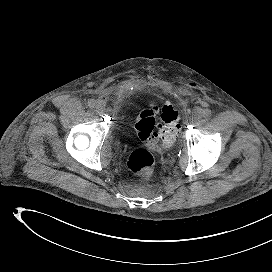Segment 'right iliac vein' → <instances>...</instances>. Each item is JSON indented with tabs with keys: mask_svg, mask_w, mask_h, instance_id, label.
Here are the masks:
<instances>
[{
	"mask_svg": "<svg viewBox=\"0 0 272 272\" xmlns=\"http://www.w3.org/2000/svg\"><path fill=\"white\" fill-rule=\"evenodd\" d=\"M95 108H96V111H98L100 113L103 112V110H104V104H103V102L97 101L96 105H95Z\"/></svg>",
	"mask_w": 272,
	"mask_h": 272,
	"instance_id": "obj_1",
	"label": "right iliac vein"
}]
</instances>
